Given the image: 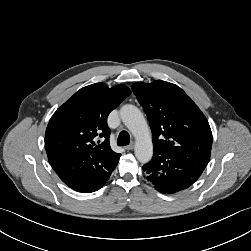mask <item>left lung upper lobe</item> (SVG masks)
<instances>
[{
    "label": "left lung upper lobe",
    "mask_w": 251,
    "mask_h": 251,
    "mask_svg": "<svg viewBox=\"0 0 251 251\" xmlns=\"http://www.w3.org/2000/svg\"><path fill=\"white\" fill-rule=\"evenodd\" d=\"M132 90L147 114L153 150L210 159L212 132L209 123L180 87L156 80L148 84L137 82Z\"/></svg>",
    "instance_id": "obj_1"
}]
</instances>
